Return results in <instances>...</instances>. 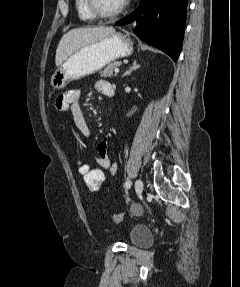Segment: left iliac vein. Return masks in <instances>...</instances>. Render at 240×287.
Segmentation results:
<instances>
[{"mask_svg": "<svg viewBox=\"0 0 240 287\" xmlns=\"http://www.w3.org/2000/svg\"><path fill=\"white\" fill-rule=\"evenodd\" d=\"M143 191V182L141 179L136 180L135 182V192L138 196L142 194Z\"/></svg>", "mask_w": 240, "mask_h": 287, "instance_id": "left-iliac-vein-1", "label": "left iliac vein"}]
</instances>
